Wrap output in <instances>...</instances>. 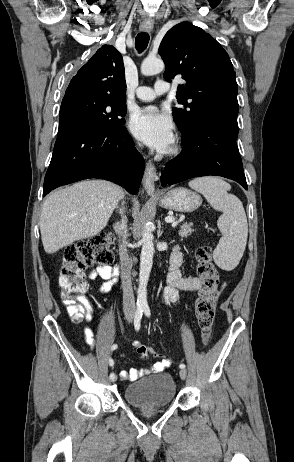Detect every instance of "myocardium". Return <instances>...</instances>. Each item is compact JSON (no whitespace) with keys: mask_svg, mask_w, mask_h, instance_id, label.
I'll return each mask as SVG.
<instances>
[{"mask_svg":"<svg viewBox=\"0 0 294 462\" xmlns=\"http://www.w3.org/2000/svg\"><path fill=\"white\" fill-rule=\"evenodd\" d=\"M180 151V146L178 144L174 145L172 149L168 152L170 156L177 155Z\"/></svg>","mask_w":294,"mask_h":462,"instance_id":"obj_1","label":"myocardium"}]
</instances>
